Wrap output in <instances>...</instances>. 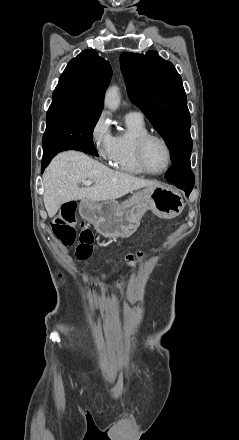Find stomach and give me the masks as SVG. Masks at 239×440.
Instances as JSON below:
<instances>
[{"mask_svg": "<svg viewBox=\"0 0 239 440\" xmlns=\"http://www.w3.org/2000/svg\"><path fill=\"white\" fill-rule=\"evenodd\" d=\"M184 200L177 190L170 188H145L135 192L129 200L118 204L116 200H81L79 214L93 224L96 232L104 238H129L140 226L141 218L151 210L158 218L171 220L184 210Z\"/></svg>", "mask_w": 239, "mask_h": 440, "instance_id": "stomach-1", "label": "stomach"}]
</instances>
